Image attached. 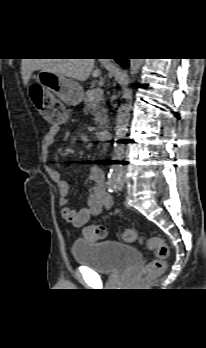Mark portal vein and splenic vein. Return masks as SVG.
I'll list each match as a JSON object with an SVG mask.
<instances>
[{
    "label": "portal vein and splenic vein",
    "mask_w": 206,
    "mask_h": 348,
    "mask_svg": "<svg viewBox=\"0 0 206 348\" xmlns=\"http://www.w3.org/2000/svg\"><path fill=\"white\" fill-rule=\"evenodd\" d=\"M103 96V90L100 88H95L92 90V101H99Z\"/></svg>",
    "instance_id": "portal-vein-and-splenic-vein-1"
}]
</instances>
